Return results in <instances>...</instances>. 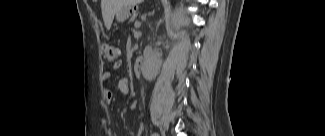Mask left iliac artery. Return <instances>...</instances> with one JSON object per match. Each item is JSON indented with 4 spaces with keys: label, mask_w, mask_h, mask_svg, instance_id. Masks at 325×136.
I'll return each mask as SVG.
<instances>
[{
    "label": "left iliac artery",
    "mask_w": 325,
    "mask_h": 136,
    "mask_svg": "<svg viewBox=\"0 0 325 136\" xmlns=\"http://www.w3.org/2000/svg\"><path fill=\"white\" fill-rule=\"evenodd\" d=\"M152 136H158V133H153Z\"/></svg>",
    "instance_id": "obj_1"
}]
</instances>
